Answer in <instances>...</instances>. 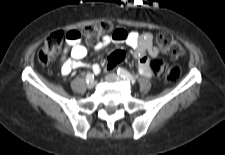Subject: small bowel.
Segmentation results:
<instances>
[{"label": "small bowel", "mask_w": 225, "mask_h": 155, "mask_svg": "<svg viewBox=\"0 0 225 155\" xmlns=\"http://www.w3.org/2000/svg\"><path fill=\"white\" fill-rule=\"evenodd\" d=\"M67 42L64 49L69 57H63L61 70L64 75L70 74L74 69L84 67L82 61L88 52V48L82 45V33L78 29H71L67 33ZM109 43H125L133 49V55L138 60V68L141 75L145 77L151 76V69L148 67L150 58H157L160 54V49L154 45V38L151 33L140 34L136 31H126L122 28L114 29L108 35H105L102 40L94 45L95 51L104 49ZM97 65L93 66L95 73L99 72Z\"/></svg>", "instance_id": "1"}]
</instances>
